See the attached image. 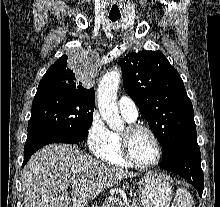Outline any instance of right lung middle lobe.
<instances>
[{
	"label": "right lung middle lobe",
	"mask_w": 220,
	"mask_h": 207,
	"mask_svg": "<svg viewBox=\"0 0 220 207\" xmlns=\"http://www.w3.org/2000/svg\"><path fill=\"white\" fill-rule=\"evenodd\" d=\"M95 97L60 90H37L27 139L50 135L86 136L93 120Z\"/></svg>",
	"instance_id": "right-lung-middle-lobe-1"
}]
</instances>
